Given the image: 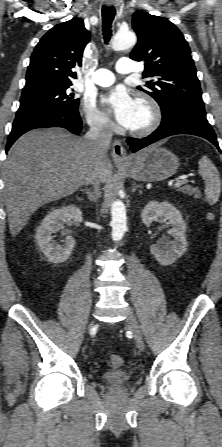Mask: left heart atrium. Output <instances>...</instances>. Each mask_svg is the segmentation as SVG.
<instances>
[{
  "label": "left heart atrium",
  "instance_id": "obj_1",
  "mask_svg": "<svg viewBox=\"0 0 222 447\" xmlns=\"http://www.w3.org/2000/svg\"><path fill=\"white\" fill-rule=\"evenodd\" d=\"M102 102L112 109L116 121L129 128L135 113L136 101L124 89H114L102 98Z\"/></svg>",
  "mask_w": 222,
  "mask_h": 447
}]
</instances>
